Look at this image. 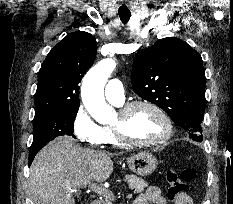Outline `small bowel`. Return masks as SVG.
Returning a JSON list of instances; mask_svg holds the SVG:
<instances>
[{
    "label": "small bowel",
    "instance_id": "small-bowel-1",
    "mask_svg": "<svg viewBox=\"0 0 233 204\" xmlns=\"http://www.w3.org/2000/svg\"><path fill=\"white\" fill-rule=\"evenodd\" d=\"M134 204H167V201L159 188L150 186L136 198ZM175 204H193V201L185 193L175 200Z\"/></svg>",
    "mask_w": 233,
    "mask_h": 204
}]
</instances>
